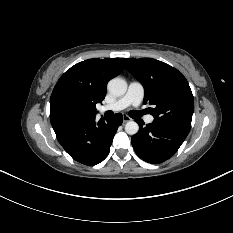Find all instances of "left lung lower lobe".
Returning a JSON list of instances; mask_svg holds the SVG:
<instances>
[{
  "mask_svg": "<svg viewBox=\"0 0 233 233\" xmlns=\"http://www.w3.org/2000/svg\"><path fill=\"white\" fill-rule=\"evenodd\" d=\"M136 122L139 132L132 137V146L138 157L152 164L172 157L189 133V129L157 119L146 126L142 119Z\"/></svg>",
  "mask_w": 233,
  "mask_h": 233,
  "instance_id": "0a47b994",
  "label": "left lung lower lobe"
}]
</instances>
